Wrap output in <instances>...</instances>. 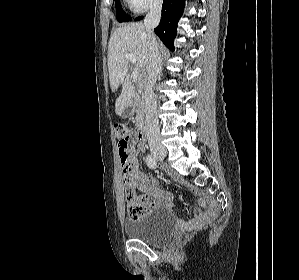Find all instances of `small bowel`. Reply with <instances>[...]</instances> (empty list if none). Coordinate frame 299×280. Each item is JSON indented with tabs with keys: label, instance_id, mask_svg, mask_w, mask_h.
Wrapping results in <instances>:
<instances>
[{
	"label": "small bowel",
	"instance_id": "1",
	"mask_svg": "<svg viewBox=\"0 0 299 280\" xmlns=\"http://www.w3.org/2000/svg\"><path fill=\"white\" fill-rule=\"evenodd\" d=\"M142 151V145L133 138L131 147L129 149V163L130 171L128 173L127 182H124L137 188L142 192L140 200L147 205L148 211L153 207L165 206L170 211L173 210V195L169 191L158 188L159 181L139 170L137 154ZM199 204L203 207V211L197 212L193 218H191L187 225L199 226L209 221L217 213V206L210 202L207 197H201Z\"/></svg>",
	"mask_w": 299,
	"mask_h": 280
}]
</instances>
